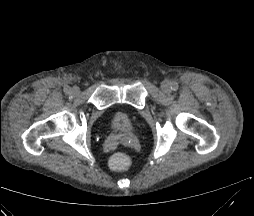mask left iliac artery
Segmentation results:
<instances>
[{
    "label": "left iliac artery",
    "instance_id": "1",
    "mask_svg": "<svg viewBox=\"0 0 254 216\" xmlns=\"http://www.w3.org/2000/svg\"><path fill=\"white\" fill-rule=\"evenodd\" d=\"M178 87H179V85H178V83H176V82H173L172 85H171V89H172L173 91L178 90Z\"/></svg>",
    "mask_w": 254,
    "mask_h": 216
}]
</instances>
